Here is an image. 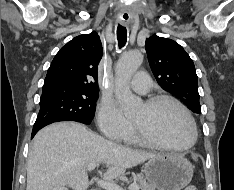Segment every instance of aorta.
I'll use <instances>...</instances> for the list:
<instances>
[{
    "label": "aorta",
    "instance_id": "obj_1",
    "mask_svg": "<svg viewBox=\"0 0 234 190\" xmlns=\"http://www.w3.org/2000/svg\"><path fill=\"white\" fill-rule=\"evenodd\" d=\"M141 63V52L132 50L124 53L116 64L115 96L126 114L134 112L140 103V98L131 92L128 83Z\"/></svg>",
    "mask_w": 234,
    "mask_h": 190
}]
</instances>
